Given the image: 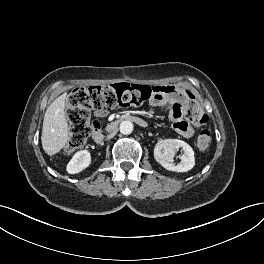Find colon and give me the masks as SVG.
Segmentation results:
<instances>
[{
	"instance_id": "1",
	"label": "colon",
	"mask_w": 264,
	"mask_h": 264,
	"mask_svg": "<svg viewBox=\"0 0 264 264\" xmlns=\"http://www.w3.org/2000/svg\"><path fill=\"white\" fill-rule=\"evenodd\" d=\"M165 90L158 87L130 83L77 87L67 98V116L70 124V136L66 145L68 152L81 148L93 131L99 128L97 121H90V113H102L117 107H137ZM186 104L184 117L188 123L202 127L207 123V116L194 94L185 90ZM211 141L207 129H202L196 138L200 150L208 148Z\"/></svg>"
}]
</instances>
